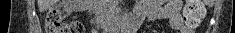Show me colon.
Returning a JSON list of instances; mask_svg holds the SVG:
<instances>
[{"label": "colon", "instance_id": "colon-1", "mask_svg": "<svg viewBox=\"0 0 235 33\" xmlns=\"http://www.w3.org/2000/svg\"><path fill=\"white\" fill-rule=\"evenodd\" d=\"M205 14V9L200 0H187L183 9L185 24L190 28L197 27ZM46 33H84L83 25L78 21L62 22L61 9H50L45 18Z\"/></svg>", "mask_w": 235, "mask_h": 33}]
</instances>
